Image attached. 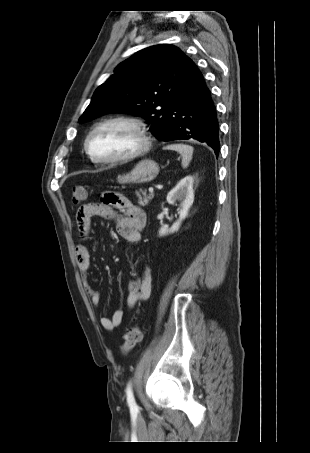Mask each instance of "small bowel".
<instances>
[{
    "instance_id": "1",
    "label": "small bowel",
    "mask_w": 310,
    "mask_h": 453,
    "mask_svg": "<svg viewBox=\"0 0 310 453\" xmlns=\"http://www.w3.org/2000/svg\"><path fill=\"white\" fill-rule=\"evenodd\" d=\"M94 216L113 218L117 222V232L131 245H139L141 231L146 224V214L138 206L131 203L120 194L109 193L108 200L100 203H87L82 205L76 213V223L79 236L83 242L90 235L91 219ZM76 261L80 272L84 277L86 291L95 308H100L102 301L98 291L93 289L88 282L91 270L90 253L85 244H79L75 251ZM152 290L151 275L148 267L143 269L142 274L129 282L126 304L132 309L138 302L145 301L150 297ZM124 312L116 310L111 317L101 318V325L105 330L112 331L121 325Z\"/></svg>"
}]
</instances>
